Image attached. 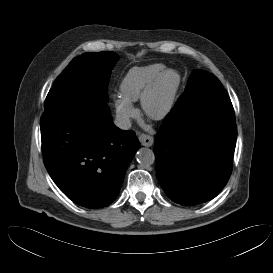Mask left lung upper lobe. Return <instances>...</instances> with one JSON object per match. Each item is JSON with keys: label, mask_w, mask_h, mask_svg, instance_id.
Instances as JSON below:
<instances>
[{"label": "left lung upper lobe", "mask_w": 273, "mask_h": 273, "mask_svg": "<svg viewBox=\"0 0 273 273\" xmlns=\"http://www.w3.org/2000/svg\"><path fill=\"white\" fill-rule=\"evenodd\" d=\"M218 80L214 74L203 70H195L190 76L184 93L180 96L176 104H181L182 102L188 100L190 97L195 95L199 90H202L210 80Z\"/></svg>", "instance_id": "obj_1"}]
</instances>
